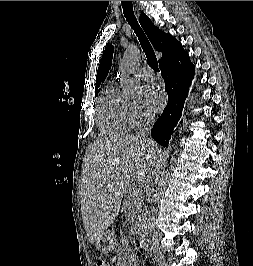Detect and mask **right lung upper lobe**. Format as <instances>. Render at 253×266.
Segmentation results:
<instances>
[{"mask_svg":"<svg viewBox=\"0 0 253 266\" xmlns=\"http://www.w3.org/2000/svg\"><path fill=\"white\" fill-rule=\"evenodd\" d=\"M139 22L144 29L146 35L151 41L153 47L162 52V57L159 60V64L168 61L175 57L179 52L183 50L180 42H178L172 35L166 34L165 32L159 30L151 20L142 13L139 17ZM113 46H108L102 56L101 63L99 65L98 73L96 76V91L100 86L103 79L106 78L110 65L112 62Z\"/></svg>","mask_w":253,"mask_h":266,"instance_id":"obj_1","label":"right lung upper lobe"}]
</instances>
